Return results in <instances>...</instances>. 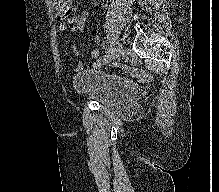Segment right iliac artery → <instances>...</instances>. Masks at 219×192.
Here are the masks:
<instances>
[{
	"label": "right iliac artery",
	"mask_w": 219,
	"mask_h": 192,
	"mask_svg": "<svg viewBox=\"0 0 219 192\" xmlns=\"http://www.w3.org/2000/svg\"><path fill=\"white\" fill-rule=\"evenodd\" d=\"M112 52H113V47H112V45H111V46L108 48V50L106 51V54L104 55V61H107V60L110 58Z\"/></svg>",
	"instance_id": "obj_1"
}]
</instances>
